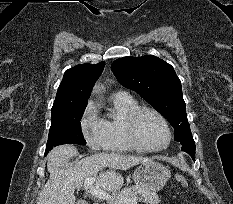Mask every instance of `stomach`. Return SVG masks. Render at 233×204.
Masks as SVG:
<instances>
[{"label": "stomach", "mask_w": 233, "mask_h": 204, "mask_svg": "<svg viewBox=\"0 0 233 204\" xmlns=\"http://www.w3.org/2000/svg\"><path fill=\"white\" fill-rule=\"evenodd\" d=\"M170 177L169 170L161 163L149 161L136 168L133 180L139 187L158 192L166 185Z\"/></svg>", "instance_id": "stomach-1"}]
</instances>
